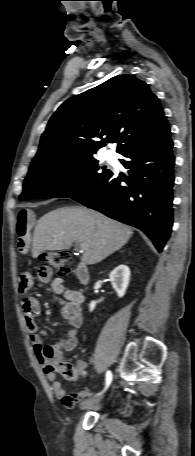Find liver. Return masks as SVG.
<instances>
[{"label":"liver","mask_w":195,"mask_h":456,"mask_svg":"<svg viewBox=\"0 0 195 456\" xmlns=\"http://www.w3.org/2000/svg\"><path fill=\"white\" fill-rule=\"evenodd\" d=\"M130 227L85 207H64L50 211L37 223L32 256L45 251L70 249L84 244L82 261L94 265L122 248L132 236Z\"/></svg>","instance_id":"obj_1"}]
</instances>
